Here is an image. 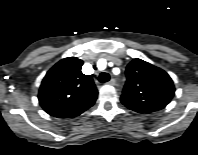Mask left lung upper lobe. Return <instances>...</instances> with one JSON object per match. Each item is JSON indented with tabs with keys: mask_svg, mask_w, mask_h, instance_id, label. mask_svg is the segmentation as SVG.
<instances>
[{
	"mask_svg": "<svg viewBox=\"0 0 198 155\" xmlns=\"http://www.w3.org/2000/svg\"><path fill=\"white\" fill-rule=\"evenodd\" d=\"M126 76L121 102L133 111L146 113L161 110L175 94L170 76L141 59H134L128 64Z\"/></svg>",
	"mask_w": 198,
	"mask_h": 155,
	"instance_id": "5c2ea615",
	"label": "left lung upper lobe"
}]
</instances>
